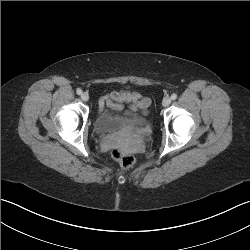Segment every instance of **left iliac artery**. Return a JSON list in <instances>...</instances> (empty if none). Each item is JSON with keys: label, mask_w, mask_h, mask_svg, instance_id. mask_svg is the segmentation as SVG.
Here are the masks:
<instances>
[{"label": "left iliac artery", "mask_w": 250, "mask_h": 250, "mask_svg": "<svg viewBox=\"0 0 250 250\" xmlns=\"http://www.w3.org/2000/svg\"><path fill=\"white\" fill-rule=\"evenodd\" d=\"M176 98H177V95L175 93L171 95L172 100H175Z\"/></svg>", "instance_id": "44dca946"}]
</instances>
